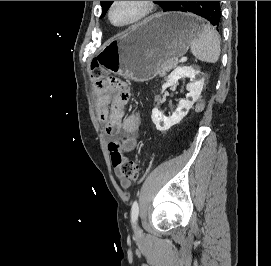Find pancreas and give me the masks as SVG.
<instances>
[{"label": "pancreas", "mask_w": 271, "mask_h": 266, "mask_svg": "<svg viewBox=\"0 0 271 266\" xmlns=\"http://www.w3.org/2000/svg\"><path fill=\"white\" fill-rule=\"evenodd\" d=\"M177 61H167L161 65V70L159 72L160 76H165L166 73L172 68L176 67Z\"/></svg>", "instance_id": "obj_1"}]
</instances>
